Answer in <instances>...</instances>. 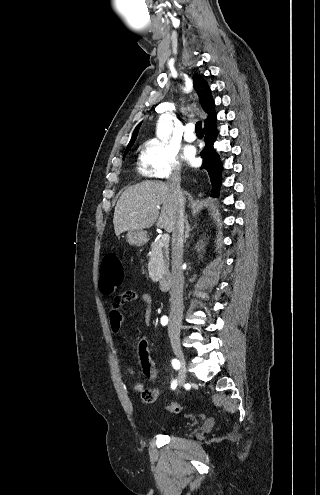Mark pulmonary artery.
<instances>
[{"instance_id":"1","label":"pulmonary artery","mask_w":320,"mask_h":495,"mask_svg":"<svg viewBox=\"0 0 320 495\" xmlns=\"http://www.w3.org/2000/svg\"><path fill=\"white\" fill-rule=\"evenodd\" d=\"M184 139L186 141L192 142L196 139L194 133V126L192 124H187L184 132Z\"/></svg>"}]
</instances>
